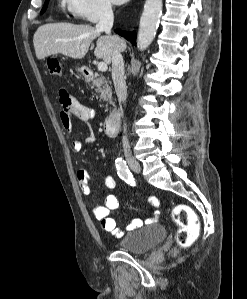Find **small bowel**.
I'll return each instance as SVG.
<instances>
[{"label": "small bowel", "instance_id": "c3829d8e", "mask_svg": "<svg viewBox=\"0 0 247 299\" xmlns=\"http://www.w3.org/2000/svg\"><path fill=\"white\" fill-rule=\"evenodd\" d=\"M59 98L61 103V122L63 127L68 131L72 132L73 129V118H77L85 124L96 117V112L91 107L84 105L75 97L71 96L66 90L61 89L59 92ZM95 137L91 130L88 131L84 142L79 139H72L71 146L73 151L80 152L84 144H90L94 141ZM77 181L81 192L84 195L91 193L90 187V175L85 170H79L77 172ZM103 185L106 190L111 191L116 188L117 180L114 176L108 175L103 180ZM148 202L152 207L153 217L146 220L147 223H153L156 221L159 215V200L154 196L148 197ZM119 201L116 195L108 194L104 200V203L97 204L91 203L90 209L94 217L99 221L101 227L111 235L115 237H122L123 232L118 227L115 219L110 216L111 211L117 209ZM143 225V221L139 218L133 219L127 226L128 230L140 228Z\"/></svg>", "mask_w": 247, "mask_h": 299}]
</instances>
